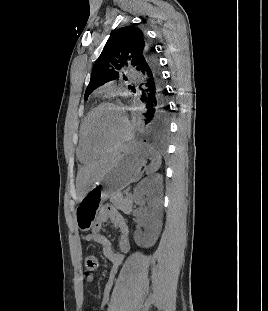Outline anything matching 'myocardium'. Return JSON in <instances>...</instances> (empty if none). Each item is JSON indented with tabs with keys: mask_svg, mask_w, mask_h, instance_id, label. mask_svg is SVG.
<instances>
[{
	"mask_svg": "<svg viewBox=\"0 0 268 311\" xmlns=\"http://www.w3.org/2000/svg\"><path fill=\"white\" fill-rule=\"evenodd\" d=\"M106 107L116 108L122 113L124 121H125V131H124V134L122 135V137L114 145H112L111 147H108L106 149H98L92 144L91 139H90V124H91V121H92L93 117L95 116V114L99 110L106 108ZM130 134H131V125H130V121H129L128 117L117 105H115L112 102L106 101V102H102V103L98 104L96 107H94L89 112V114L87 115L85 122H84V141H85V144H86V147L88 148V150L95 155H103V154H106V153H109V152L116 150L117 148H119L121 145H123L129 139Z\"/></svg>",
	"mask_w": 268,
	"mask_h": 311,
	"instance_id": "myocardium-1",
	"label": "myocardium"
}]
</instances>
